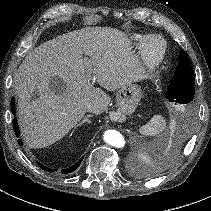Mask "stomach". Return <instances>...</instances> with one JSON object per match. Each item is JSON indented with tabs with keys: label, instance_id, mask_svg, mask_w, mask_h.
I'll return each mask as SVG.
<instances>
[{
	"label": "stomach",
	"instance_id": "0dacf381",
	"mask_svg": "<svg viewBox=\"0 0 211 211\" xmlns=\"http://www.w3.org/2000/svg\"><path fill=\"white\" fill-rule=\"evenodd\" d=\"M142 92L140 87L135 84H128L118 89L116 94V105L118 112L123 115H129L134 112L139 101L141 100Z\"/></svg>",
	"mask_w": 211,
	"mask_h": 211
}]
</instances>
